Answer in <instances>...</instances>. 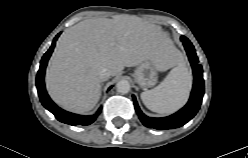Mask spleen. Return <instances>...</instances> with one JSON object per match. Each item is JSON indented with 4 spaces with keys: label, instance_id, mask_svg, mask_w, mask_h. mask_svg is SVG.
I'll return each instance as SVG.
<instances>
[{
    "label": "spleen",
    "instance_id": "3e777b00",
    "mask_svg": "<svg viewBox=\"0 0 248 158\" xmlns=\"http://www.w3.org/2000/svg\"><path fill=\"white\" fill-rule=\"evenodd\" d=\"M174 67L167 77L154 89L141 93L144 105L160 114H171L188 100L192 86V75L181 58H176Z\"/></svg>",
    "mask_w": 248,
    "mask_h": 158
}]
</instances>
